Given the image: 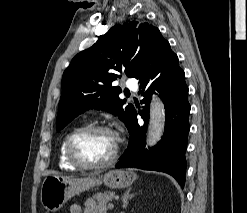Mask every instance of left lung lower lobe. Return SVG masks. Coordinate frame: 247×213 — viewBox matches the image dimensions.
Wrapping results in <instances>:
<instances>
[{"instance_id": "0a47b994", "label": "left lung lower lobe", "mask_w": 247, "mask_h": 213, "mask_svg": "<svg viewBox=\"0 0 247 213\" xmlns=\"http://www.w3.org/2000/svg\"><path fill=\"white\" fill-rule=\"evenodd\" d=\"M184 71L178 65V57L172 53L161 63L151 67L148 74L140 80L143 109L138 113L144 120L139 126L135 111L127 128L130 134L129 144L117 168H140L161 171L172 175L181 187L185 183L187 136L189 132L188 87ZM150 79L151 87L146 89ZM155 89L165 105L166 123L162 139L153 148L145 149V135L149 122L150 98Z\"/></svg>"}]
</instances>
